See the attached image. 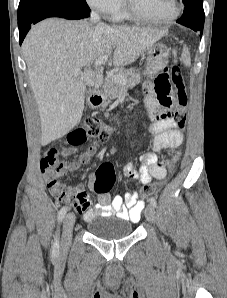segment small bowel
<instances>
[{
    "label": "small bowel",
    "instance_id": "c3829d8e",
    "mask_svg": "<svg viewBox=\"0 0 227 298\" xmlns=\"http://www.w3.org/2000/svg\"><path fill=\"white\" fill-rule=\"evenodd\" d=\"M170 77L171 72H169V69H160V75H156L154 83L148 82L144 86L145 102L148 110H144L143 114L151 115V118L147 117L146 121L149 126L148 132L153 136L152 151L140 156L141 164L138 169L132 163H126L123 168V175L126 178L137 180L142 185L149 184L152 179L165 178L167 168L172 167L181 155L179 147L183 143V134L172 118L174 91H171ZM159 110L162 117H153V115H157ZM165 148H177V150L167 161H162L158 158L156 152ZM75 150V146H50V150L42 157L40 161L41 170L51 192L55 194V188L50 186V183L57 181L59 188L78 196L80 201L72 205L80 213H83L86 221L98 215L116 216L133 222L138 221L144 203L137 201L136 193H126L124 196L116 195L113 198L108 193H102L98 195L97 203L92 205L84 185L64 188L58 178L67 172L78 170L81 165L87 164L94 156L96 148L94 145L87 147L80 155L79 162L64 164L59 160L62 156L70 155ZM89 178L90 181L94 180L93 175H90Z\"/></svg>",
    "mask_w": 227,
    "mask_h": 298
}]
</instances>
